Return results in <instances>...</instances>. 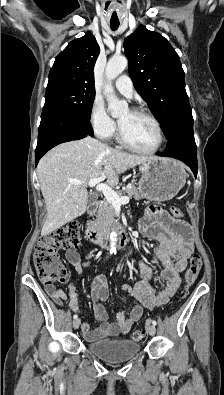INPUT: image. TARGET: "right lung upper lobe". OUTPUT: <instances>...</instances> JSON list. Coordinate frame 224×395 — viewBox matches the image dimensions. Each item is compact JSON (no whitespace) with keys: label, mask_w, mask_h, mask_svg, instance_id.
Masks as SVG:
<instances>
[{"label":"right lung upper lobe","mask_w":224,"mask_h":395,"mask_svg":"<svg viewBox=\"0 0 224 395\" xmlns=\"http://www.w3.org/2000/svg\"><path fill=\"white\" fill-rule=\"evenodd\" d=\"M100 47L90 32L71 41L56 57L49 78H65L94 87L93 69Z\"/></svg>","instance_id":"obj_1"}]
</instances>
